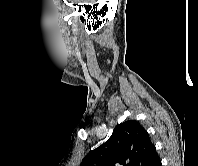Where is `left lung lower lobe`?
Here are the masks:
<instances>
[{"instance_id": "obj_1", "label": "left lung lower lobe", "mask_w": 198, "mask_h": 166, "mask_svg": "<svg viewBox=\"0 0 198 166\" xmlns=\"http://www.w3.org/2000/svg\"><path fill=\"white\" fill-rule=\"evenodd\" d=\"M148 166H162L161 165V160H160V158H159L157 153L154 155V157L152 158V160L148 164Z\"/></svg>"}]
</instances>
